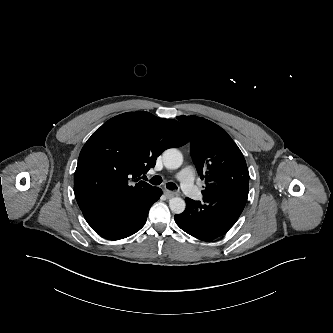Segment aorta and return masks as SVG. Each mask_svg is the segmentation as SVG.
I'll return each instance as SVG.
<instances>
[{"instance_id":"aorta-1","label":"aorta","mask_w":333,"mask_h":333,"mask_svg":"<svg viewBox=\"0 0 333 333\" xmlns=\"http://www.w3.org/2000/svg\"><path fill=\"white\" fill-rule=\"evenodd\" d=\"M163 163L167 169H177L183 163L182 153L174 148L163 152ZM169 207L174 214H181L186 208L185 201L180 197H174L169 201Z\"/></svg>"}]
</instances>
